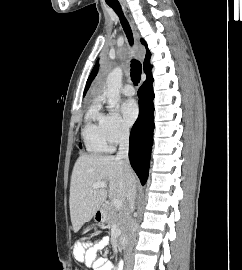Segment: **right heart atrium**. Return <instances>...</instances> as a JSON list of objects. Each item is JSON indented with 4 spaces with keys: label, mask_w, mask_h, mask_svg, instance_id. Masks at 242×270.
<instances>
[{
    "label": "right heart atrium",
    "mask_w": 242,
    "mask_h": 270,
    "mask_svg": "<svg viewBox=\"0 0 242 270\" xmlns=\"http://www.w3.org/2000/svg\"><path fill=\"white\" fill-rule=\"evenodd\" d=\"M105 128L112 145L125 141L129 136V128L117 112L105 115Z\"/></svg>",
    "instance_id": "d8ad5b80"
}]
</instances>
